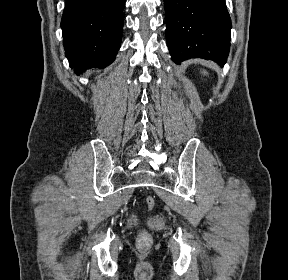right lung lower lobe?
Returning a JSON list of instances; mask_svg holds the SVG:
<instances>
[{
    "label": "right lung lower lobe",
    "instance_id": "right-lung-lower-lobe-1",
    "mask_svg": "<svg viewBox=\"0 0 288 280\" xmlns=\"http://www.w3.org/2000/svg\"><path fill=\"white\" fill-rule=\"evenodd\" d=\"M125 0H66L61 20L65 55L79 74L110 65L120 48Z\"/></svg>",
    "mask_w": 288,
    "mask_h": 280
}]
</instances>
